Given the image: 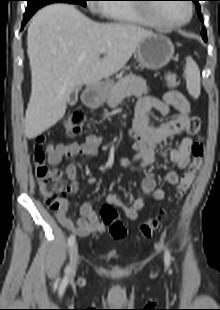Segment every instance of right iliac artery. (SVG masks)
Masks as SVG:
<instances>
[{"label":"right iliac artery","mask_w":220,"mask_h":310,"mask_svg":"<svg viewBox=\"0 0 220 310\" xmlns=\"http://www.w3.org/2000/svg\"><path fill=\"white\" fill-rule=\"evenodd\" d=\"M75 243V236L74 235H70L68 238V246L69 248H71Z\"/></svg>","instance_id":"1"}]
</instances>
